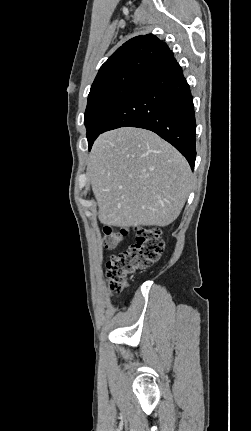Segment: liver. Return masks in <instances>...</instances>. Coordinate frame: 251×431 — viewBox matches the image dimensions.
<instances>
[{"mask_svg": "<svg viewBox=\"0 0 251 431\" xmlns=\"http://www.w3.org/2000/svg\"><path fill=\"white\" fill-rule=\"evenodd\" d=\"M88 177L107 226H167L181 213L192 185L186 159L155 133L123 127L101 134Z\"/></svg>", "mask_w": 251, "mask_h": 431, "instance_id": "obj_1", "label": "liver"}]
</instances>
